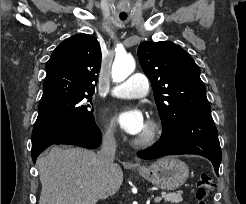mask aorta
I'll return each instance as SVG.
<instances>
[{
	"mask_svg": "<svg viewBox=\"0 0 246 204\" xmlns=\"http://www.w3.org/2000/svg\"><path fill=\"white\" fill-rule=\"evenodd\" d=\"M135 60L131 55L117 56L112 65V78L115 82L124 81L135 70Z\"/></svg>",
	"mask_w": 246,
	"mask_h": 204,
	"instance_id": "obj_1",
	"label": "aorta"
}]
</instances>
